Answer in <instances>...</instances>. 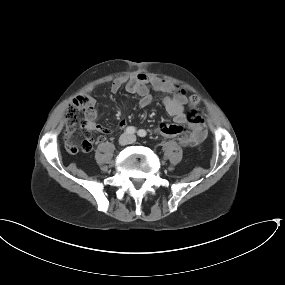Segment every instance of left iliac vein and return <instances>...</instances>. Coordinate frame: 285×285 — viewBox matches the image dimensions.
I'll return each mask as SVG.
<instances>
[{"label":"left iliac vein","instance_id":"4c4485c4","mask_svg":"<svg viewBox=\"0 0 285 285\" xmlns=\"http://www.w3.org/2000/svg\"><path fill=\"white\" fill-rule=\"evenodd\" d=\"M134 140H135L134 137H131L130 142H133Z\"/></svg>","mask_w":285,"mask_h":285}]
</instances>
